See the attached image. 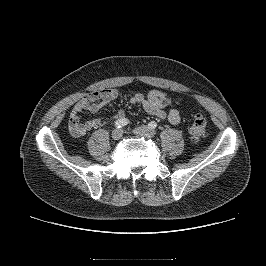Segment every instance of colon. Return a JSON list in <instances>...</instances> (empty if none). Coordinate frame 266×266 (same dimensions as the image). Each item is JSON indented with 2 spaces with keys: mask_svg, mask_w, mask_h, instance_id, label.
I'll use <instances>...</instances> for the list:
<instances>
[{
  "mask_svg": "<svg viewBox=\"0 0 266 266\" xmlns=\"http://www.w3.org/2000/svg\"><path fill=\"white\" fill-rule=\"evenodd\" d=\"M170 101L167 98L165 103L168 104ZM190 139L193 143L200 142L207 134V121L201 113L194 115L192 124L190 126Z\"/></svg>",
  "mask_w": 266,
  "mask_h": 266,
  "instance_id": "obj_1",
  "label": "colon"
}]
</instances>
